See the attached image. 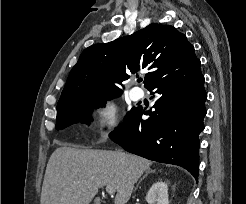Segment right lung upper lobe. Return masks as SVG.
<instances>
[{
  "label": "right lung upper lobe",
  "mask_w": 246,
  "mask_h": 204,
  "mask_svg": "<svg viewBox=\"0 0 246 204\" xmlns=\"http://www.w3.org/2000/svg\"><path fill=\"white\" fill-rule=\"evenodd\" d=\"M197 60L194 47L173 26L152 23L106 44L86 48L69 73L59 101L89 94L122 93L123 82L139 70L148 88L163 76Z\"/></svg>",
  "instance_id": "cb5924a9"
}]
</instances>
